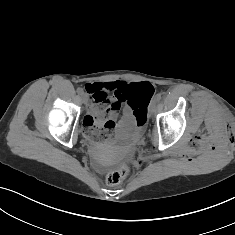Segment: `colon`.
<instances>
[{"label": "colon", "mask_w": 235, "mask_h": 235, "mask_svg": "<svg viewBox=\"0 0 235 235\" xmlns=\"http://www.w3.org/2000/svg\"><path fill=\"white\" fill-rule=\"evenodd\" d=\"M153 87L146 82L129 85L121 95V100L125 101L127 105L134 110L136 124L143 127L147 123L148 112L146 108V101L152 96ZM104 96L99 95L98 99L101 102ZM109 121V113L107 110H102L94 116L87 117L86 126L91 134L93 129H97V135L102 139L108 138L109 134L100 132V129ZM128 173L127 165H121L118 168L109 172L106 176V183L110 186L118 185L123 181Z\"/></svg>", "instance_id": "obj_1"}]
</instances>
